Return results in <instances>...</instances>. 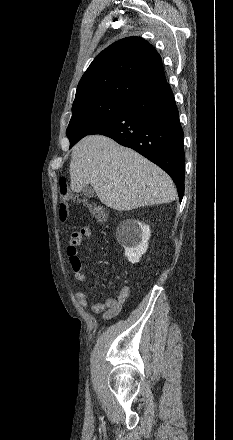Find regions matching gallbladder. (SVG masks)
I'll list each match as a JSON object with an SVG mask.
<instances>
[{
	"label": "gallbladder",
	"mask_w": 233,
	"mask_h": 440,
	"mask_svg": "<svg viewBox=\"0 0 233 440\" xmlns=\"http://www.w3.org/2000/svg\"><path fill=\"white\" fill-rule=\"evenodd\" d=\"M83 193L88 198L95 196V191H94L93 187L88 186V185L83 188Z\"/></svg>",
	"instance_id": "bac80fb5"
}]
</instances>
